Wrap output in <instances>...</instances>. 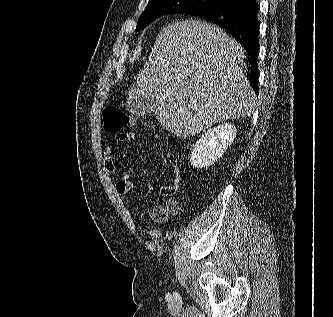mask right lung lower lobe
Returning a JSON list of instances; mask_svg holds the SVG:
<instances>
[{"label":"right lung lower lobe","mask_w":333,"mask_h":317,"mask_svg":"<svg viewBox=\"0 0 333 317\" xmlns=\"http://www.w3.org/2000/svg\"><path fill=\"white\" fill-rule=\"evenodd\" d=\"M256 0H237L227 2L209 11L195 14L225 29L247 51L251 72L248 74L250 85L256 92L258 88V51L259 22Z\"/></svg>","instance_id":"right-lung-lower-lobe-1"}]
</instances>
